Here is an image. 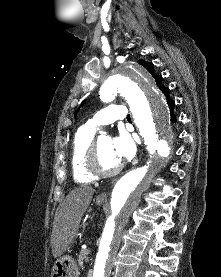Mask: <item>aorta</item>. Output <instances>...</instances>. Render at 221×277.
Listing matches in <instances>:
<instances>
[{"instance_id":"762f6f07","label":"aorta","mask_w":221,"mask_h":277,"mask_svg":"<svg viewBox=\"0 0 221 277\" xmlns=\"http://www.w3.org/2000/svg\"><path fill=\"white\" fill-rule=\"evenodd\" d=\"M116 94L123 96L129 104L150 156L157 154L160 161L154 165L149 160L116 182L111 194L110 215L105 222L95 257L93 277L108 276L120 247L122 232L138 208L143 192L151 184L152 170L163 167L172 153L169 108L147 70L137 64H127L109 76L100 88V99L109 103Z\"/></svg>"}]
</instances>
